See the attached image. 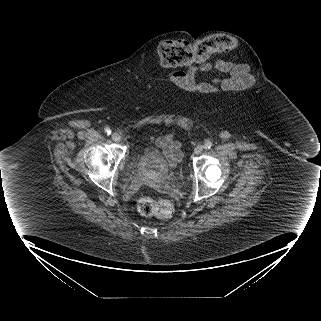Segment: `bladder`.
<instances>
[{"label": "bladder", "mask_w": 321, "mask_h": 321, "mask_svg": "<svg viewBox=\"0 0 321 321\" xmlns=\"http://www.w3.org/2000/svg\"><path fill=\"white\" fill-rule=\"evenodd\" d=\"M179 164L177 160L174 165H170L159 152L149 150L139 156L134 170L140 177L152 181L178 168Z\"/></svg>", "instance_id": "31cf9c89"}]
</instances>
